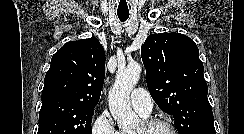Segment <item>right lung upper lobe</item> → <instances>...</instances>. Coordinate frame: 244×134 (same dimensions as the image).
Returning <instances> with one entry per match:
<instances>
[{"instance_id": "cb5924a9", "label": "right lung upper lobe", "mask_w": 244, "mask_h": 134, "mask_svg": "<svg viewBox=\"0 0 244 134\" xmlns=\"http://www.w3.org/2000/svg\"><path fill=\"white\" fill-rule=\"evenodd\" d=\"M105 77V52L96 38L70 41L57 51L44 79L42 103L51 100L96 107Z\"/></svg>"}]
</instances>
